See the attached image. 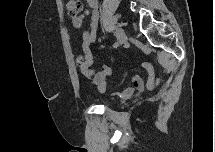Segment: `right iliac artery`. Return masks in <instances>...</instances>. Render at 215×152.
Wrapping results in <instances>:
<instances>
[{"label":"right iliac artery","mask_w":215,"mask_h":152,"mask_svg":"<svg viewBox=\"0 0 215 152\" xmlns=\"http://www.w3.org/2000/svg\"><path fill=\"white\" fill-rule=\"evenodd\" d=\"M118 45H119L118 42H115L113 47H118Z\"/></svg>","instance_id":"82829eb1"}]
</instances>
